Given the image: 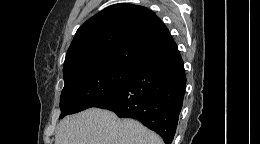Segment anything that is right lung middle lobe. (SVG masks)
Segmentation results:
<instances>
[{
	"mask_svg": "<svg viewBox=\"0 0 260 144\" xmlns=\"http://www.w3.org/2000/svg\"><path fill=\"white\" fill-rule=\"evenodd\" d=\"M133 71L132 68L102 64L64 75L60 118L96 106L116 92Z\"/></svg>",
	"mask_w": 260,
	"mask_h": 144,
	"instance_id": "obj_1",
	"label": "right lung middle lobe"
}]
</instances>
